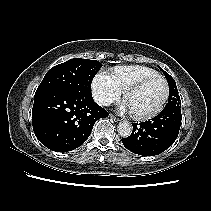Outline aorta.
<instances>
[{
    "mask_svg": "<svg viewBox=\"0 0 211 211\" xmlns=\"http://www.w3.org/2000/svg\"><path fill=\"white\" fill-rule=\"evenodd\" d=\"M117 128L121 137H129L132 133V126L128 122L119 123Z\"/></svg>",
    "mask_w": 211,
    "mask_h": 211,
    "instance_id": "aorta-1",
    "label": "aorta"
}]
</instances>
